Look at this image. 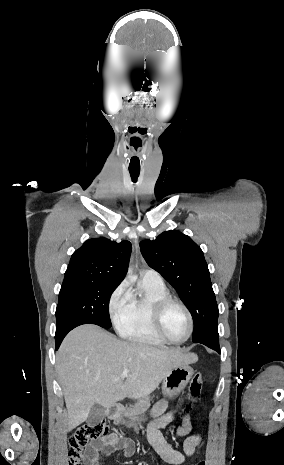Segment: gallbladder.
I'll return each instance as SVG.
<instances>
[{
	"mask_svg": "<svg viewBox=\"0 0 284 465\" xmlns=\"http://www.w3.org/2000/svg\"><path fill=\"white\" fill-rule=\"evenodd\" d=\"M105 415L104 407H101V405H94L88 415L86 423L90 425V427H95V425H99V423L103 421Z\"/></svg>",
	"mask_w": 284,
	"mask_h": 465,
	"instance_id": "gallbladder-1",
	"label": "gallbladder"
}]
</instances>
